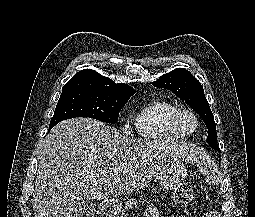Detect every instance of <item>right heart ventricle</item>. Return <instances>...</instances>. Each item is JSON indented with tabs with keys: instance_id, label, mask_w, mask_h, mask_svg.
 <instances>
[{
	"instance_id": "1",
	"label": "right heart ventricle",
	"mask_w": 255,
	"mask_h": 217,
	"mask_svg": "<svg viewBox=\"0 0 255 217\" xmlns=\"http://www.w3.org/2000/svg\"><path fill=\"white\" fill-rule=\"evenodd\" d=\"M178 107L164 99H154L144 105L134 117V129L148 139L176 140L184 138L172 120Z\"/></svg>"
}]
</instances>
